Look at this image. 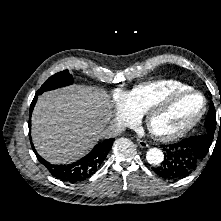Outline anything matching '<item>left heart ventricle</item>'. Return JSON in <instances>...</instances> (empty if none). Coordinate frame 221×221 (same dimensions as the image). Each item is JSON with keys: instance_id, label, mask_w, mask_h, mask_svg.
Listing matches in <instances>:
<instances>
[{"instance_id": "1", "label": "left heart ventricle", "mask_w": 221, "mask_h": 221, "mask_svg": "<svg viewBox=\"0 0 221 221\" xmlns=\"http://www.w3.org/2000/svg\"><path fill=\"white\" fill-rule=\"evenodd\" d=\"M202 100L198 95H188L156 115L152 128L159 132H171L187 123L200 109Z\"/></svg>"}]
</instances>
